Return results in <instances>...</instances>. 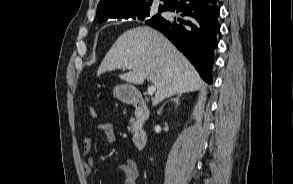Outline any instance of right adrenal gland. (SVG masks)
<instances>
[{"label":"right adrenal gland","mask_w":293,"mask_h":184,"mask_svg":"<svg viewBox=\"0 0 293 184\" xmlns=\"http://www.w3.org/2000/svg\"><path fill=\"white\" fill-rule=\"evenodd\" d=\"M181 96H182L181 94H178L176 97L170 99L169 101H173L176 105H178V104H180V98H181ZM169 101H167V102H169ZM167 102H165V103L160 107V109L157 111L158 114H161V113H162L163 108H164V106H165V104H166Z\"/></svg>","instance_id":"obj_1"}]
</instances>
